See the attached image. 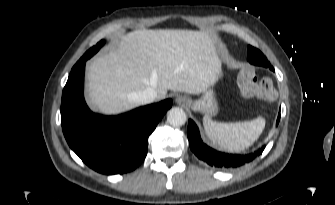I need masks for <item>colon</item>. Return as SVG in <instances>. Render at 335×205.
I'll return each mask as SVG.
<instances>
[{"label": "colon", "instance_id": "colon-1", "mask_svg": "<svg viewBox=\"0 0 335 205\" xmlns=\"http://www.w3.org/2000/svg\"><path fill=\"white\" fill-rule=\"evenodd\" d=\"M241 93L246 97L259 99H272L275 91L273 84L268 79L258 80L254 70L242 69L236 78Z\"/></svg>", "mask_w": 335, "mask_h": 205}]
</instances>
